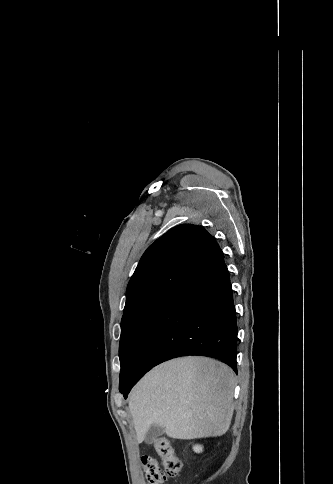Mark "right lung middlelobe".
Segmentation results:
<instances>
[{
	"instance_id": "1",
	"label": "right lung middle lobe",
	"mask_w": 333,
	"mask_h": 484,
	"mask_svg": "<svg viewBox=\"0 0 333 484\" xmlns=\"http://www.w3.org/2000/svg\"><path fill=\"white\" fill-rule=\"evenodd\" d=\"M169 294L170 292L158 294L123 314L119 346L121 363L119 389H123L129 379L135 352L144 332Z\"/></svg>"
}]
</instances>
